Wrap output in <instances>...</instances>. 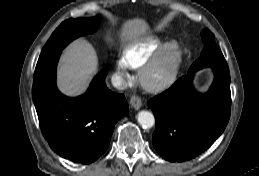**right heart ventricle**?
Segmentation results:
<instances>
[{"mask_svg": "<svg viewBox=\"0 0 259 176\" xmlns=\"http://www.w3.org/2000/svg\"><path fill=\"white\" fill-rule=\"evenodd\" d=\"M165 39L157 35H149L130 43L123 51L122 60L127 67L139 70L164 45Z\"/></svg>", "mask_w": 259, "mask_h": 176, "instance_id": "obj_1", "label": "right heart ventricle"}]
</instances>
